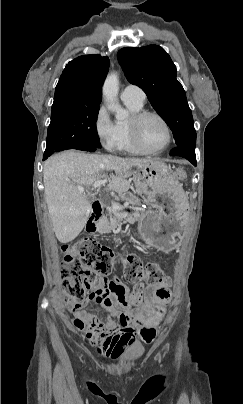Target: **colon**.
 I'll list each match as a JSON object with an SVG mask.
<instances>
[{
    "label": "colon",
    "instance_id": "colon-1",
    "mask_svg": "<svg viewBox=\"0 0 243 404\" xmlns=\"http://www.w3.org/2000/svg\"><path fill=\"white\" fill-rule=\"evenodd\" d=\"M183 179L184 174L178 173ZM65 252L64 266L61 270L63 288L67 299L81 301L87 291L99 283L100 276L109 274L120 264L127 280L159 284L165 277L155 263L143 264L136 255H129L115 261L112 251L93 239H81L72 246H63ZM143 293L134 291L123 304L137 305L142 301Z\"/></svg>",
    "mask_w": 243,
    "mask_h": 404
}]
</instances>
